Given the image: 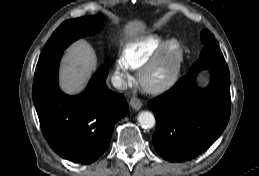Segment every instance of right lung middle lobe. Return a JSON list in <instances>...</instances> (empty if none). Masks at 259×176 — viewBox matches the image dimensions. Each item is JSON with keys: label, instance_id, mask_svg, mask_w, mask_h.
Here are the masks:
<instances>
[{"label": "right lung middle lobe", "instance_id": "right-lung-middle-lobe-1", "mask_svg": "<svg viewBox=\"0 0 259 176\" xmlns=\"http://www.w3.org/2000/svg\"><path fill=\"white\" fill-rule=\"evenodd\" d=\"M101 26V16L81 17L63 22L46 43L39 60L63 51L80 37L96 33Z\"/></svg>", "mask_w": 259, "mask_h": 176}]
</instances>
